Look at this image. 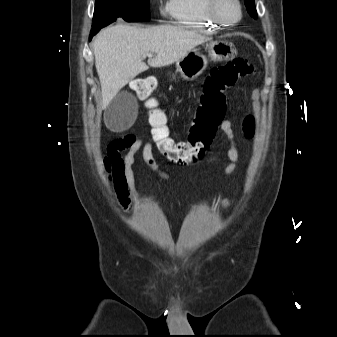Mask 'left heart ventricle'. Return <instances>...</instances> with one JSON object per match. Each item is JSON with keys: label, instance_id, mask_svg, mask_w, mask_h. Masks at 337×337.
Masks as SVG:
<instances>
[{"label": "left heart ventricle", "instance_id": "left-heart-ventricle-1", "mask_svg": "<svg viewBox=\"0 0 337 337\" xmlns=\"http://www.w3.org/2000/svg\"><path fill=\"white\" fill-rule=\"evenodd\" d=\"M222 12L228 19H236L238 17V11L233 2L227 0L222 4Z\"/></svg>", "mask_w": 337, "mask_h": 337}]
</instances>
